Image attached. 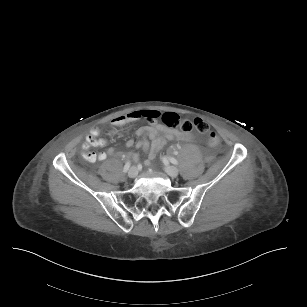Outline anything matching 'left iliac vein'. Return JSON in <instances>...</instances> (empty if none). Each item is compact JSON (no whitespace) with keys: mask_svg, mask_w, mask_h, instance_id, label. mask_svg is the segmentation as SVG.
<instances>
[{"mask_svg":"<svg viewBox=\"0 0 307 307\" xmlns=\"http://www.w3.org/2000/svg\"><path fill=\"white\" fill-rule=\"evenodd\" d=\"M165 171L172 178L177 177L179 174V171L175 166H167Z\"/></svg>","mask_w":307,"mask_h":307,"instance_id":"1","label":"left iliac vein"}]
</instances>
